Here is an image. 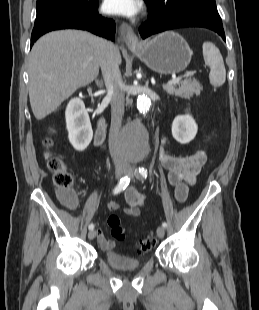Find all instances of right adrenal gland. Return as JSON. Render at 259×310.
Listing matches in <instances>:
<instances>
[{
	"label": "right adrenal gland",
	"instance_id": "obj_1",
	"mask_svg": "<svg viewBox=\"0 0 259 310\" xmlns=\"http://www.w3.org/2000/svg\"><path fill=\"white\" fill-rule=\"evenodd\" d=\"M96 84H97L99 87H102V86H103V81H102V80H96Z\"/></svg>",
	"mask_w": 259,
	"mask_h": 310
}]
</instances>
